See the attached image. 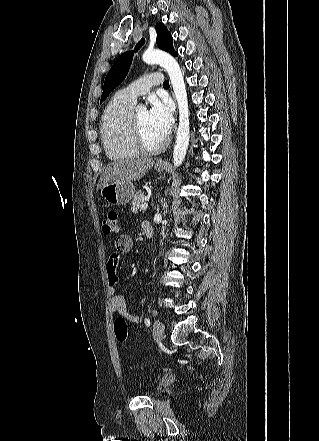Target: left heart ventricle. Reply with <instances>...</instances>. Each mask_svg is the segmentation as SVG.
Instances as JSON below:
<instances>
[{
    "mask_svg": "<svg viewBox=\"0 0 319 441\" xmlns=\"http://www.w3.org/2000/svg\"><path fill=\"white\" fill-rule=\"evenodd\" d=\"M136 117L140 125L141 132L145 142L151 146L159 144L163 140V138H161L151 126L148 117V112L139 111L136 113Z\"/></svg>",
    "mask_w": 319,
    "mask_h": 441,
    "instance_id": "b2bd125f",
    "label": "left heart ventricle"
}]
</instances>
